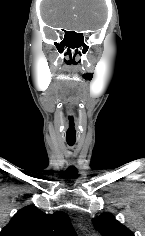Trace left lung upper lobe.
<instances>
[{
	"label": "left lung upper lobe",
	"mask_w": 145,
	"mask_h": 236,
	"mask_svg": "<svg viewBox=\"0 0 145 236\" xmlns=\"http://www.w3.org/2000/svg\"><path fill=\"white\" fill-rule=\"evenodd\" d=\"M93 224L102 236H134V233L118 222L110 213L93 218Z\"/></svg>",
	"instance_id": "obj_1"
}]
</instances>
